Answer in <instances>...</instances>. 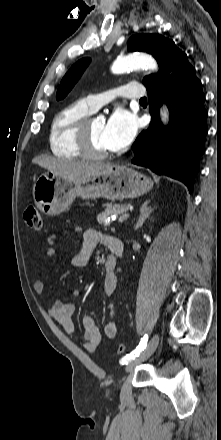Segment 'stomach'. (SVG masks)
<instances>
[{"label":"stomach","instance_id":"1","mask_svg":"<svg viewBox=\"0 0 221 440\" xmlns=\"http://www.w3.org/2000/svg\"><path fill=\"white\" fill-rule=\"evenodd\" d=\"M153 181L126 165H112L90 175L63 177L53 172L41 174L33 187L37 208L46 215L65 211L76 197L110 200L136 198L147 193Z\"/></svg>","mask_w":221,"mask_h":440}]
</instances>
